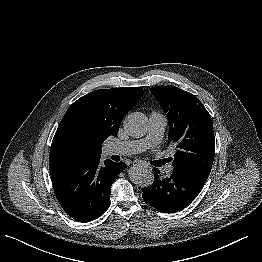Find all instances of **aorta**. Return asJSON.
I'll return each instance as SVG.
<instances>
[{
    "mask_svg": "<svg viewBox=\"0 0 262 262\" xmlns=\"http://www.w3.org/2000/svg\"><path fill=\"white\" fill-rule=\"evenodd\" d=\"M147 117L140 112L130 113L123 121L124 130L134 138L142 137L147 132ZM130 180L141 187L153 184L154 174L151 170L134 166L129 171Z\"/></svg>",
    "mask_w": 262,
    "mask_h": 262,
    "instance_id": "aorta-1",
    "label": "aorta"
}]
</instances>
